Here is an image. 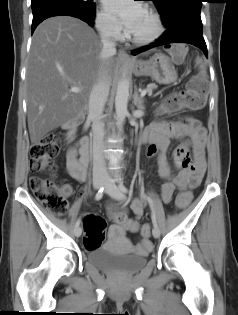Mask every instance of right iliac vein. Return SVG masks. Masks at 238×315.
I'll return each instance as SVG.
<instances>
[{"mask_svg":"<svg viewBox=\"0 0 238 315\" xmlns=\"http://www.w3.org/2000/svg\"><path fill=\"white\" fill-rule=\"evenodd\" d=\"M103 185H104V180H103V179H95V180L93 181V187H94L95 189H99V188H101ZM81 233H82V228L79 227V226L75 227V229H74V234H75V236H76V237H79V236L81 235Z\"/></svg>","mask_w":238,"mask_h":315,"instance_id":"right-iliac-vein-1","label":"right iliac vein"}]
</instances>
